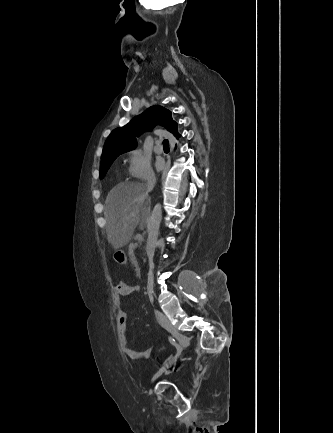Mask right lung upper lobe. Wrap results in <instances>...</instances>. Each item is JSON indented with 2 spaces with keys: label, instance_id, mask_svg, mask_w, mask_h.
<instances>
[{
  "label": "right lung upper lobe",
  "instance_id": "obj_1",
  "mask_svg": "<svg viewBox=\"0 0 333 433\" xmlns=\"http://www.w3.org/2000/svg\"><path fill=\"white\" fill-rule=\"evenodd\" d=\"M156 125L165 127L176 139L180 137L178 124L172 119L171 111L163 106H152L109 135L103 147L101 161L134 149L137 146V137L146 130H152Z\"/></svg>",
  "mask_w": 333,
  "mask_h": 433
}]
</instances>
